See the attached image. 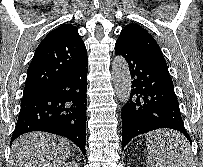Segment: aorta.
<instances>
[{
	"instance_id": "obj_1",
	"label": "aorta",
	"mask_w": 203,
	"mask_h": 167,
	"mask_svg": "<svg viewBox=\"0 0 203 167\" xmlns=\"http://www.w3.org/2000/svg\"><path fill=\"white\" fill-rule=\"evenodd\" d=\"M112 81L116 95L121 103L128 102L131 92L129 66L123 56H116L112 62Z\"/></svg>"
}]
</instances>
